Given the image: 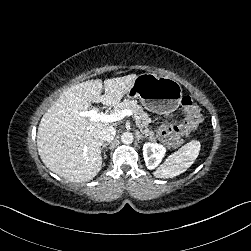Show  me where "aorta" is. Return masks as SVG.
Instances as JSON below:
<instances>
[{
  "label": "aorta",
  "instance_id": "obj_1",
  "mask_svg": "<svg viewBox=\"0 0 251 251\" xmlns=\"http://www.w3.org/2000/svg\"><path fill=\"white\" fill-rule=\"evenodd\" d=\"M133 139H134L133 134L128 133V132L122 133L121 141H122L123 143H125V144H130V143H132Z\"/></svg>",
  "mask_w": 251,
  "mask_h": 251
}]
</instances>
